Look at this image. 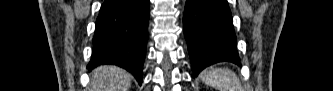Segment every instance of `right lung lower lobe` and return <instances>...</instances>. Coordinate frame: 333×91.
I'll use <instances>...</instances> for the list:
<instances>
[{
	"mask_svg": "<svg viewBox=\"0 0 333 91\" xmlns=\"http://www.w3.org/2000/svg\"><path fill=\"white\" fill-rule=\"evenodd\" d=\"M148 20L149 0H105L96 21L88 70L117 65L131 72L141 85Z\"/></svg>",
	"mask_w": 333,
	"mask_h": 91,
	"instance_id": "obj_1",
	"label": "right lung lower lobe"
}]
</instances>
